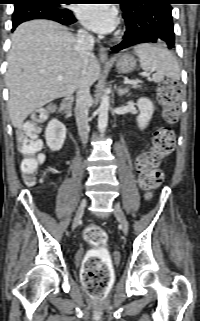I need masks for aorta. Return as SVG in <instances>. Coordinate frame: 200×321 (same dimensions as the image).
Segmentation results:
<instances>
[{
  "label": "aorta",
  "instance_id": "obj_1",
  "mask_svg": "<svg viewBox=\"0 0 200 321\" xmlns=\"http://www.w3.org/2000/svg\"><path fill=\"white\" fill-rule=\"evenodd\" d=\"M110 102L108 94H104L101 99V104L98 109V129L100 133H104L108 125V110Z\"/></svg>",
  "mask_w": 200,
  "mask_h": 321
}]
</instances>
